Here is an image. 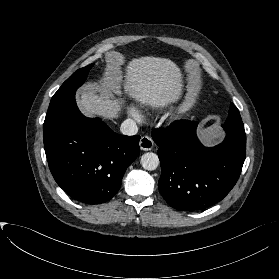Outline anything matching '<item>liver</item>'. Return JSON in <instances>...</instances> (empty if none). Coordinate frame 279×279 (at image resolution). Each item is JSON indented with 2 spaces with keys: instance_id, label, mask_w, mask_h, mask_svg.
I'll list each match as a JSON object with an SVG mask.
<instances>
[{
  "instance_id": "1",
  "label": "liver",
  "mask_w": 279,
  "mask_h": 279,
  "mask_svg": "<svg viewBox=\"0 0 279 279\" xmlns=\"http://www.w3.org/2000/svg\"><path fill=\"white\" fill-rule=\"evenodd\" d=\"M182 79L180 68L170 59L146 56L134 58L127 64L110 59L103 86L98 90L84 88L78 105L86 116L116 118L121 110L119 96L123 89L141 105L164 108L179 98Z\"/></svg>"
}]
</instances>
